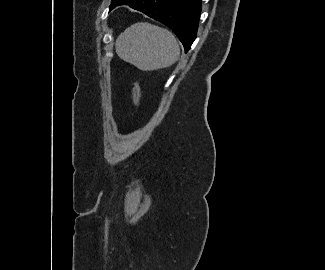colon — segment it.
I'll list each match as a JSON object with an SVG mask.
<instances>
[{
    "instance_id": "5ec220e1",
    "label": "colon",
    "mask_w": 325,
    "mask_h": 270,
    "mask_svg": "<svg viewBox=\"0 0 325 270\" xmlns=\"http://www.w3.org/2000/svg\"><path fill=\"white\" fill-rule=\"evenodd\" d=\"M132 98H133L134 105L136 107H139L141 102V88H140V84L137 81L134 82L133 85Z\"/></svg>"
}]
</instances>
